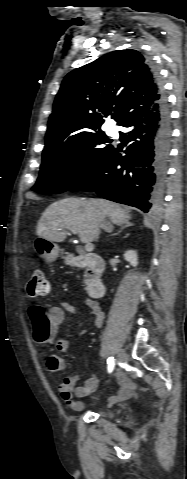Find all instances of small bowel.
<instances>
[{"label": "small bowel", "instance_id": "1", "mask_svg": "<svg viewBox=\"0 0 187 479\" xmlns=\"http://www.w3.org/2000/svg\"><path fill=\"white\" fill-rule=\"evenodd\" d=\"M84 301L88 307V314L93 319L95 327L102 326L104 321V313L99 305L92 299L85 297ZM42 307L38 304L31 305L29 307V317L34 324L35 334L39 337H46L50 334H54L58 331L59 327L64 321L65 312L77 313V309L67 303L54 306L49 310L48 321H45L41 314ZM69 342L65 338H61L57 342V353H51L46 356V368L51 374H58L63 372L66 367V361L60 356L61 353L68 351ZM81 377L80 372H74L67 376L58 385V390L62 399L66 404L74 409L79 410L84 407V404L80 401H76L75 397H85L96 390L99 384L97 376L91 375L81 387H75L76 381ZM118 383L120 389L118 393L109 398V405H112L119 399L127 398L134 394V383L124 374H118Z\"/></svg>", "mask_w": 187, "mask_h": 479}]
</instances>
